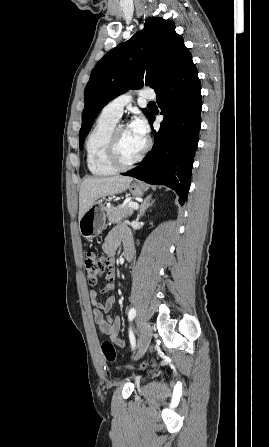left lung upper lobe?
<instances>
[{
    "mask_svg": "<svg viewBox=\"0 0 269 447\" xmlns=\"http://www.w3.org/2000/svg\"><path fill=\"white\" fill-rule=\"evenodd\" d=\"M186 49L173 22L153 17L145 22L142 31L109 51L92 70L85 88L80 149L96 116L110 100L126 90L143 86L159 91L170 79ZM143 113L147 118L150 115L147 109H143Z\"/></svg>",
    "mask_w": 269,
    "mask_h": 447,
    "instance_id": "obj_1",
    "label": "left lung upper lobe"
}]
</instances>
